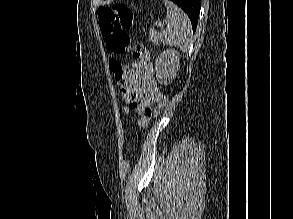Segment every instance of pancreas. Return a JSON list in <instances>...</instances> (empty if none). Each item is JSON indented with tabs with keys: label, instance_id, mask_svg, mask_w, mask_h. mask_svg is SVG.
<instances>
[{
	"label": "pancreas",
	"instance_id": "pancreas-1",
	"mask_svg": "<svg viewBox=\"0 0 293 219\" xmlns=\"http://www.w3.org/2000/svg\"><path fill=\"white\" fill-rule=\"evenodd\" d=\"M158 39H159V34L154 30H150L149 31V40L153 44L158 45Z\"/></svg>",
	"mask_w": 293,
	"mask_h": 219
}]
</instances>
